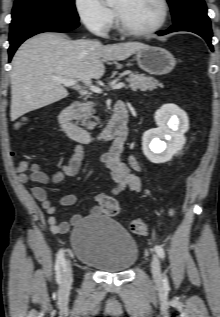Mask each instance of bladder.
<instances>
[{
	"label": "bladder",
	"instance_id": "1",
	"mask_svg": "<svg viewBox=\"0 0 220 317\" xmlns=\"http://www.w3.org/2000/svg\"><path fill=\"white\" fill-rule=\"evenodd\" d=\"M70 244L79 262L105 272L127 271L139 255L126 228L103 215L83 218L72 230Z\"/></svg>",
	"mask_w": 220,
	"mask_h": 317
}]
</instances>
